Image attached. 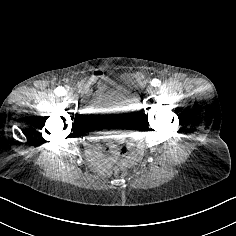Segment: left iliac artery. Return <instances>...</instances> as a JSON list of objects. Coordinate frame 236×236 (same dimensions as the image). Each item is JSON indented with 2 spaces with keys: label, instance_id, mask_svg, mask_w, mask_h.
Here are the masks:
<instances>
[{
  "label": "left iliac artery",
  "instance_id": "1",
  "mask_svg": "<svg viewBox=\"0 0 236 236\" xmlns=\"http://www.w3.org/2000/svg\"><path fill=\"white\" fill-rule=\"evenodd\" d=\"M160 84H161V81H160V80H158V79H156V78H155V79H153V80H152V82H151V85H152V86H155V87H156V86H158V87H159V86H160Z\"/></svg>",
  "mask_w": 236,
  "mask_h": 236
}]
</instances>
